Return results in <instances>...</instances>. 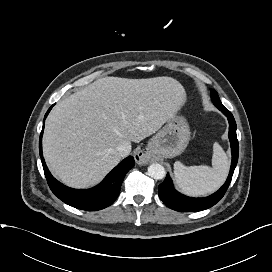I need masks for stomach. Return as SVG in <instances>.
Instances as JSON below:
<instances>
[{
  "label": "stomach",
  "instance_id": "obj_1",
  "mask_svg": "<svg viewBox=\"0 0 272 272\" xmlns=\"http://www.w3.org/2000/svg\"><path fill=\"white\" fill-rule=\"evenodd\" d=\"M190 129L183 116L175 115L150 139L147 155L158 158H173L186 149Z\"/></svg>",
  "mask_w": 272,
  "mask_h": 272
}]
</instances>
